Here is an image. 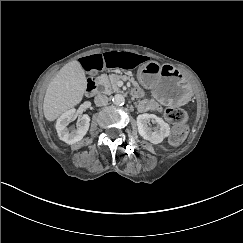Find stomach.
Listing matches in <instances>:
<instances>
[{
    "mask_svg": "<svg viewBox=\"0 0 243 243\" xmlns=\"http://www.w3.org/2000/svg\"><path fill=\"white\" fill-rule=\"evenodd\" d=\"M137 78L163 105L182 106L191 98L190 84L172 65L147 62L139 68Z\"/></svg>",
    "mask_w": 243,
    "mask_h": 243,
    "instance_id": "obj_1",
    "label": "stomach"
}]
</instances>
